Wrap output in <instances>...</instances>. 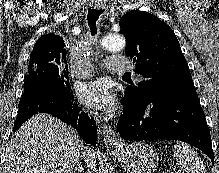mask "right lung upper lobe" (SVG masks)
<instances>
[{
  "label": "right lung upper lobe",
  "instance_id": "1",
  "mask_svg": "<svg viewBox=\"0 0 219 173\" xmlns=\"http://www.w3.org/2000/svg\"><path fill=\"white\" fill-rule=\"evenodd\" d=\"M64 46L65 44L62 37L54 33L43 35L34 45L30 62H51L67 69L66 50Z\"/></svg>",
  "mask_w": 219,
  "mask_h": 173
}]
</instances>
